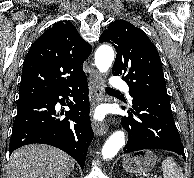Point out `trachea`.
Masks as SVG:
<instances>
[{
  "instance_id": "obj_1",
  "label": "trachea",
  "mask_w": 194,
  "mask_h": 178,
  "mask_svg": "<svg viewBox=\"0 0 194 178\" xmlns=\"http://www.w3.org/2000/svg\"><path fill=\"white\" fill-rule=\"evenodd\" d=\"M106 92H117L116 90L112 89V88H106Z\"/></svg>"
}]
</instances>
